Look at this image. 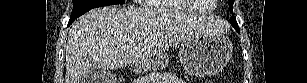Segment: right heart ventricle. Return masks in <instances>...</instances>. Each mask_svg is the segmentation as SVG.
<instances>
[{
    "label": "right heart ventricle",
    "mask_w": 307,
    "mask_h": 83,
    "mask_svg": "<svg viewBox=\"0 0 307 83\" xmlns=\"http://www.w3.org/2000/svg\"><path fill=\"white\" fill-rule=\"evenodd\" d=\"M147 7L164 14L193 12L191 8L184 5L180 0H150Z\"/></svg>",
    "instance_id": "e07e8e85"
}]
</instances>
